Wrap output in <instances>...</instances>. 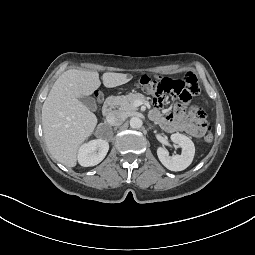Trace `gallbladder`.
<instances>
[{
  "instance_id": "bac80fb5",
  "label": "gallbladder",
  "mask_w": 255,
  "mask_h": 255,
  "mask_svg": "<svg viewBox=\"0 0 255 255\" xmlns=\"http://www.w3.org/2000/svg\"><path fill=\"white\" fill-rule=\"evenodd\" d=\"M79 100L91 111H97L98 106L94 98L89 96L80 97Z\"/></svg>"
}]
</instances>
